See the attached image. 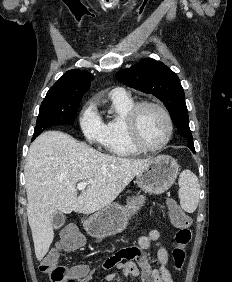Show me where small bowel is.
Segmentation results:
<instances>
[{
    "instance_id": "c3829d8e",
    "label": "small bowel",
    "mask_w": 232,
    "mask_h": 282,
    "mask_svg": "<svg viewBox=\"0 0 232 282\" xmlns=\"http://www.w3.org/2000/svg\"><path fill=\"white\" fill-rule=\"evenodd\" d=\"M154 246L156 248L158 267L153 268L148 262L146 252ZM169 255L161 234L158 230H151L147 235L138 239V245L122 249L108 257L101 264L104 270L114 269V272L104 277V282L116 281L120 278L139 277L141 282H174L168 268ZM94 270L86 273L82 282L92 279Z\"/></svg>"
}]
</instances>
